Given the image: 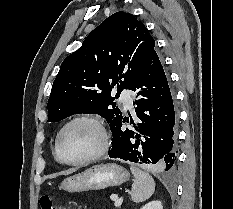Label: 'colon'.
I'll return each instance as SVG.
<instances>
[{"label":"colon","mask_w":233,"mask_h":209,"mask_svg":"<svg viewBox=\"0 0 233 209\" xmlns=\"http://www.w3.org/2000/svg\"><path fill=\"white\" fill-rule=\"evenodd\" d=\"M41 209H61L54 205L52 198L49 195H43L39 201Z\"/></svg>","instance_id":"5ec220e1"}]
</instances>
